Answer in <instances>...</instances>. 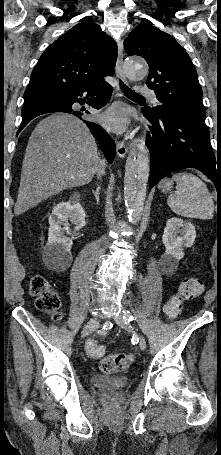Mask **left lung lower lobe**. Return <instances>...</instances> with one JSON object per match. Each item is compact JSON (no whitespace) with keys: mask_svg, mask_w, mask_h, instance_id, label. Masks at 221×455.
<instances>
[{"mask_svg":"<svg viewBox=\"0 0 221 455\" xmlns=\"http://www.w3.org/2000/svg\"><path fill=\"white\" fill-rule=\"evenodd\" d=\"M151 122L147 135L150 151V189L169 173L197 168L221 190V159L214 156L205 122L177 114L154 115L143 109Z\"/></svg>","mask_w":221,"mask_h":455,"instance_id":"1","label":"left lung lower lobe"}]
</instances>
